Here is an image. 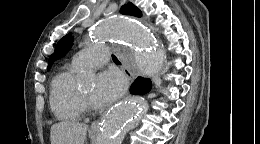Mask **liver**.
<instances>
[{"label":"liver","mask_w":260,"mask_h":144,"mask_svg":"<svg viewBox=\"0 0 260 144\" xmlns=\"http://www.w3.org/2000/svg\"><path fill=\"white\" fill-rule=\"evenodd\" d=\"M88 126L75 121H62L51 126V144H84Z\"/></svg>","instance_id":"6515ba94"}]
</instances>
